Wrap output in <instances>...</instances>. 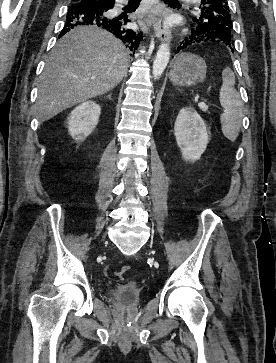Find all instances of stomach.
Instances as JSON below:
<instances>
[{
  "label": "stomach",
  "instance_id": "1",
  "mask_svg": "<svg viewBox=\"0 0 276 363\" xmlns=\"http://www.w3.org/2000/svg\"><path fill=\"white\" fill-rule=\"evenodd\" d=\"M207 73L203 58L192 53L180 54L172 63L169 79L174 85L191 87L204 81Z\"/></svg>",
  "mask_w": 276,
  "mask_h": 363
}]
</instances>
